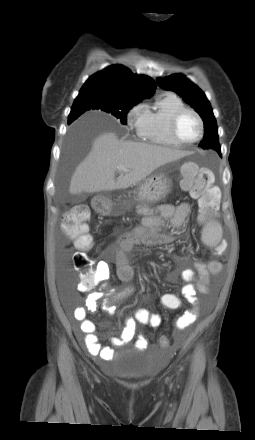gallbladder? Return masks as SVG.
Listing matches in <instances>:
<instances>
[{"label": "gallbladder", "instance_id": "1", "mask_svg": "<svg viewBox=\"0 0 255 440\" xmlns=\"http://www.w3.org/2000/svg\"><path fill=\"white\" fill-rule=\"evenodd\" d=\"M86 200V196L83 194H77L74 196V201L75 202H82Z\"/></svg>", "mask_w": 255, "mask_h": 440}]
</instances>
